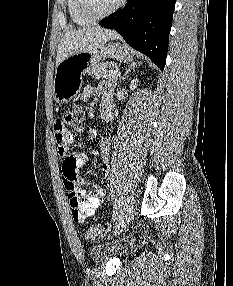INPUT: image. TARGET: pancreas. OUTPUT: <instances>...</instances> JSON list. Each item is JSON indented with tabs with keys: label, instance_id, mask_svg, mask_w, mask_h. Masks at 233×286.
Here are the masks:
<instances>
[{
	"label": "pancreas",
	"instance_id": "pancreas-1",
	"mask_svg": "<svg viewBox=\"0 0 233 286\" xmlns=\"http://www.w3.org/2000/svg\"><path fill=\"white\" fill-rule=\"evenodd\" d=\"M109 63H99L88 70V74L96 79H105L109 81H116V75H111Z\"/></svg>",
	"mask_w": 233,
	"mask_h": 286
}]
</instances>
